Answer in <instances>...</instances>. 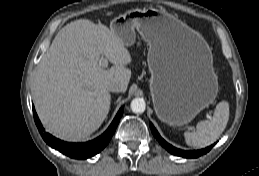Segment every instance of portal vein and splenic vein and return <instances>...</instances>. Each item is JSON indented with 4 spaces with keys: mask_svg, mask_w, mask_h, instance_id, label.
<instances>
[{
    "mask_svg": "<svg viewBox=\"0 0 259 176\" xmlns=\"http://www.w3.org/2000/svg\"><path fill=\"white\" fill-rule=\"evenodd\" d=\"M103 56V55H102ZM100 65H101V67H103V68H106L107 66H108V61H107V59L105 58V57H101V59H100Z\"/></svg>",
    "mask_w": 259,
    "mask_h": 176,
    "instance_id": "portal-vein-and-splenic-vein-1",
    "label": "portal vein and splenic vein"
}]
</instances>
